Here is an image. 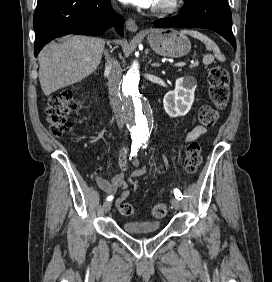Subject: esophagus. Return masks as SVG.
Instances as JSON below:
<instances>
[{"instance_id":"34e87169","label":"esophagus","mask_w":272,"mask_h":282,"mask_svg":"<svg viewBox=\"0 0 272 282\" xmlns=\"http://www.w3.org/2000/svg\"><path fill=\"white\" fill-rule=\"evenodd\" d=\"M126 29L130 32H136L138 27H137L135 20H133L132 18H129L126 21Z\"/></svg>"}]
</instances>
